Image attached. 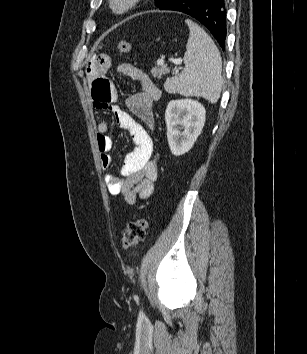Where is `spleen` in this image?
<instances>
[{
	"label": "spleen",
	"instance_id": "obj_1",
	"mask_svg": "<svg viewBox=\"0 0 307 354\" xmlns=\"http://www.w3.org/2000/svg\"><path fill=\"white\" fill-rule=\"evenodd\" d=\"M190 34L184 54V70L168 79L164 88L169 93L203 97L218 101L223 86L222 59L211 37L197 24L186 20Z\"/></svg>",
	"mask_w": 307,
	"mask_h": 354
}]
</instances>
